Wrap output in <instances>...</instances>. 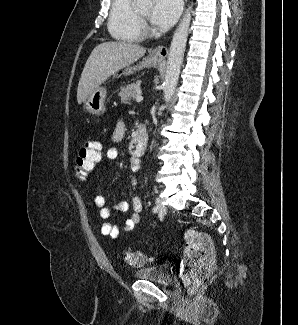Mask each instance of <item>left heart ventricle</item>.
<instances>
[{
    "mask_svg": "<svg viewBox=\"0 0 298 325\" xmlns=\"http://www.w3.org/2000/svg\"><path fill=\"white\" fill-rule=\"evenodd\" d=\"M152 3L150 1H141L140 3V10L142 14L145 16V18L148 20L149 24L157 29V27L151 22L150 20V13H151Z\"/></svg>",
    "mask_w": 298,
    "mask_h": 325,
    "instance_id": "left-heart-ventricle-1",
    "label": "left heart ventricle"
}]
</instances>
